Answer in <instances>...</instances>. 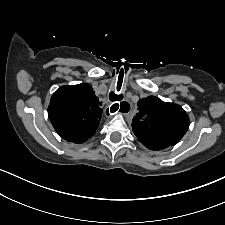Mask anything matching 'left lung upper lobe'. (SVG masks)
Instances as JSON below:
<instances>
[{
	"instance_id": "left-lung-upper-lobe-1",
	"label": "left lung upper lobe",
	"mask_w": 225,
	"mask_h": 225,
	"mask_svg": "<svg viewBox=\"0 0 225 225\" xmlns=\"http://www.w3.org/2000/svg\"><path fill=\"white\" fill-rule=\"evenodd\" d=\"M137 105L140 112L132 121V129L141 142L168 147L178 143L188 130L189 117L177 104L149 96ZM144 115L146 119L141 121Z\"/></svg>"
}]
</instances>
